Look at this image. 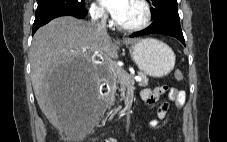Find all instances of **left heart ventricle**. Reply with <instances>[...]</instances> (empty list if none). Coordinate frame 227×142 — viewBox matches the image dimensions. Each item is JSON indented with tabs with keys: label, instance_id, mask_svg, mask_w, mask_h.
<instances>
[{
	"label": "left heart ventricle",
	"instance_id": "b2bd125f",
	"mask_svg": "<svg viewBox=\"0 0 227 142\" xmlns=\"http://www.w3.org/2000/svg\"><path fill=\"white\" fill-rule=\"evenodd\" d=\"M143 14V8L137 0H128L122 17L117 21L123 25H134L142 20Z\"/></svg>",
	"mask_w": 227,
	"mask_h": 142
}]
</instances>
